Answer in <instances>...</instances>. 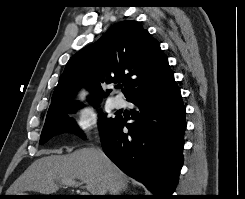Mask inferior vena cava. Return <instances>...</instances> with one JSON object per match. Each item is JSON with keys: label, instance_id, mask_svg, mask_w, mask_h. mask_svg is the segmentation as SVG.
I'll return each mask as SVG.
<instances>
[{"label": "inferior vena cava", "instance_id": "inferior-vena-cava-1", "mask_svg": "<svg viewBox=\"0 0 245 199\" xmlns=\"http://www.w3.org/2000/svg\"><path fill=\"white\" fill-rule=\"evenodd\" d=\"M100 152H102L101 150H99ZM103 153V152H102ZM102 195H105V193H103Z\"/></svg>", "mask_w": 245, "mask_h": 199}]
</instances>
